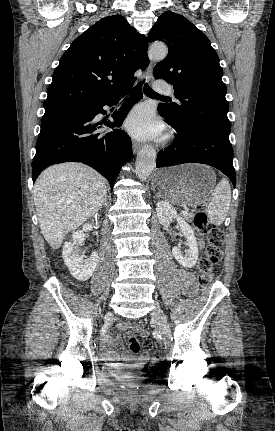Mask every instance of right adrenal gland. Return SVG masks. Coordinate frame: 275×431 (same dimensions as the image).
Here are the masks:
<instances>
[{"mask_svg":"<svg viewBox=\"0 0 275 431\" xmlns=\"http://www.w3.org/2000/svg\"><path fill=\"white\" fill-rule=\"evenodd\" d=\"M107 205V198H105L104 202H103V206Z\"/></svg>","mask_w":275,"mask_h":431,"instance_id":"obj_1","label":"right adrenal gland"}]
</instances>
